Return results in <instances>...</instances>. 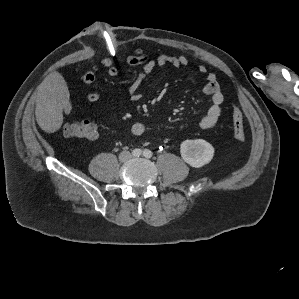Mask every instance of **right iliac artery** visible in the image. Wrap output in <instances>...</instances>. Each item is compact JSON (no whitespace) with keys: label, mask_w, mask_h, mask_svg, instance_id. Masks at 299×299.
<instances>
[{"label":"right iliac artery","mask_w":299,"mask_h":299,"mask_svg":"<svg viewBox=\"0 0 299 299\" xmlns=\"http://www.w3.org/2000/svg\"><path fill=\"white\" fill-rule=\"evenodd\" d=\"M132 154L136 157H139L142 154V150L141 149H134L132 151Z\"/></svg>","instance_id":"1"}]
</instances>
